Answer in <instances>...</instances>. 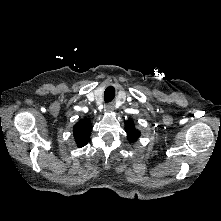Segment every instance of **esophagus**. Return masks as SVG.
I'll return each instance as SVG.
<instances>
[{
	"mask_svg": "<svg viewBox=\"0 0 221 221\" xmlns=\"http://www.w3.org/2000/svg\"><path fill=\"white\" fill-rule=\"evenodd\" d=\"M114 110V105L113 103H108L106 106H105V111L107 112H111Z\"/></svg>",
	"mask_w": 221,
	"mask_h": 221,
	"instance_id": "obj_1",
	"label": "esophagus"
}]
</instances>
